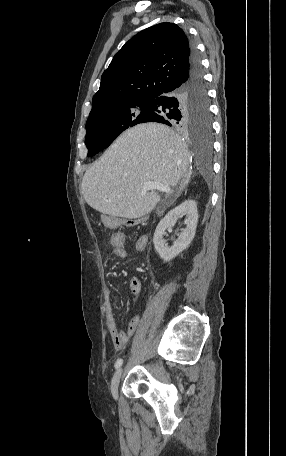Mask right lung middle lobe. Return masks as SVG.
I'll return each mask as SVG.
<instances>
[{"instance_id":"right-lung-middle-lobe-1","label":"right lung middle lobe","mask_w":286,"mask_h":456,"mask_svg":"<svg viewBox=\"0 0 286 456\" xmlns=\"http://www.w3.org/2000/svg\"><path fill=\"white\" fill-rule=\"evenodd\" d=\"M152 112L148 99L136 98L110 104L89 116L85 139L88 156L107 148L127 128L146 122ZM187 129L209 135L211 120L208 118L203 126Z\"/></svg>"}]
</instances>
